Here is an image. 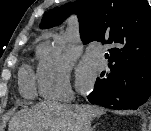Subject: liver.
Masks as SVG:
<instances>
[{
	"label": "liver",
	"mask_w": 151,
	"mask_h": 131,
	"mask_svg": "<svg viewBox=\"0 0 151 131\" xmlns=\"http://www.w3.org/2000/svg\"><path fill=\"white\" fill-rule=\"evenodd\" d=\"M102 114L104 110L97 106L45 101L18 112L8 131H90L92 120Z\"/></svg>",
	"instance_id": "6515ba94"
}]
</instances>
